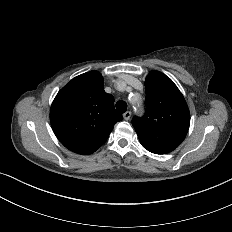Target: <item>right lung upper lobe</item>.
<instances>
[{"label": "right lung upper lobe", "instance_id": "cb5924a9", "mask_svg": "<svg viewBox=\"0 0 232 232\" xmlns=\"http://www.w3.org/2000/svg\"><path fill=\"white\" fill-rule=\"evenodd\" d=\"M122 119L114 108L113 96L104 91L102 75L95 70L73 78L58 92L50 109L58 140L82 155L101 147Z\"/></svg>", "mask_w": 232, "mask_h": 232}]
</instances>
